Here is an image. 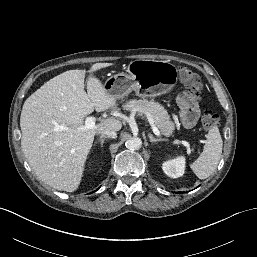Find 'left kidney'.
<instances>
[{"label":"left kidney","mask_w":257,"mask_h":257,"mask_svg":"<svg viewBox=\"0 0 257 257\" xmlns=\"http://www.w3.org/2000/svg\"><path fill=\"white\" fill-rule=\"evenodd\" d=\"M162 169L165 174L171 178L181 177L185 170V159L183 157H178L166 161L162 164Z\"/></svg>","instance_id":"5707ae66"}]
</instances>
